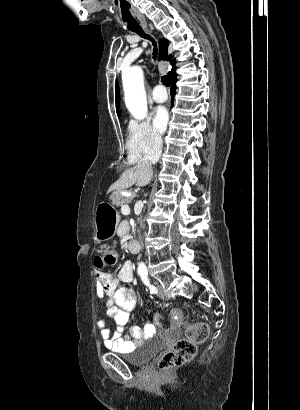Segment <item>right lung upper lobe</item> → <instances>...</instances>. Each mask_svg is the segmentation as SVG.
<instances>
[{
    "label": "right lung upper lobe",
    "mask_w": 300,
    "mask_h": 410,
    "mask_svg": "<svg viewBox=\"0 0 300 410\" xmlns=\"http://www.w3.org/2000/svg\"><path fill=\"white\" fill-rule=\"evenodd\" d=\"M160 44V55H159V59L160 60H169L170 64L172 66L171 71L168 73V75L171 77H173L175 75V60H171V56L168 57L167 53H168V46H169V42L165 39L160 40L159 42ZM115 91H116V109H117V115H120V111H119V105H120V96H119V86H118V82H116L115 84Z\"/></svg>",
    "instance_id": "1"
}]
</instances>
